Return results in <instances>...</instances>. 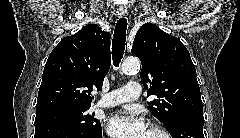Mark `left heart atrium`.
Segmentation results:
<instances>
[{
  "label": "left heart atrium",
  "instance_id": "obj_1",
  "mask_svg": "<svg viewBox=\"0 0 240 138\" xmlns=\"http://www.w3.org/2000/svg\"><path fill=\"white\" fill-rule=\"evenodd\" d=\"M108 132L116 138H146L147 127L135 112L114 114L108 122Z\"/></svg>",
  "mask_w": 240,
  "mask_h": 138
}]
</instances>
